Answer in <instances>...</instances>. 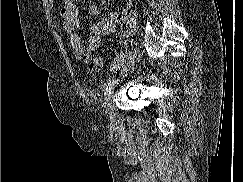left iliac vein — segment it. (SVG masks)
I'll use <instances>...</instances> for the list:
<instances>
[{
  "label": "left iliac vein",
  "mask_w": 243,
  "mask_h": 182,
  "mask_svg": "<svg viewBox=\"0 0 243 182\" xmlns=\"http://www.w3.org/2000/svg\"><path fill=\"white\" fill-rule=\"evenodd\" d=\"M136 56H137V48H133L129 53L124 72H127V70H129L130 67L134 64ZM110 96H111L110 94L106 95L104 106H105V112H106L109 120L112 121L113 120V110L111 107V102H110L111 97Z\"/></svg>",
  "instance_id": "left-iliac-vein-1"
}]
</instances>
